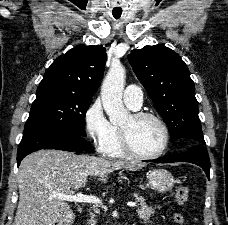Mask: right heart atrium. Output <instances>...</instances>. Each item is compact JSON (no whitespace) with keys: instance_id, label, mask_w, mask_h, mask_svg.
I'll return each mask as SVG.
<instances>
[{"instance_id":"right-heart-atrium-1","label":"right heart atrium","mask_w":228,"mask_h":225,"mask_svg":"<svg viewBox=\"0 0 228 225\" xmlns=\"http://www.w3.org/2000/svg\"><path fill=\"white\" fill-rule=\"evenodd\" d=\"M83 125L88 138L98 150H101L112 136L113 125L107 118L100 100L94 101L85 110Z\"/></svg>"}]
</instances>
